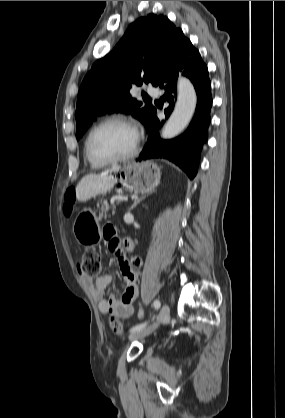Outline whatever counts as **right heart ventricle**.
<instances>
[{"mask_svg": "<svg viewBox=\"0 0 285 418\" xmlns=\"http://www.w3.org/2000/svg\"><path fill=\"white\" fill-rule=\"evenodd\" d=\"M85 157L87 158V160H88V162H89V164H90V166L92 167V168H94V169H98V168H101L103 165H100V164H96V163H94V162H92V161H90L89 160V158L87 157V155H86V152H85Z\"/></svg>", "mask_w": 285, "mask_h": 418, "instance_id": "right-heart-ventricle-1", "label": "right heart ventricle"}]
</instances>
